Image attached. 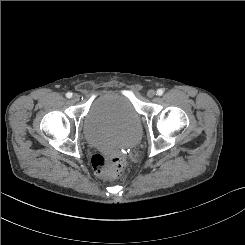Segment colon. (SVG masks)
I'll list each match as a JSON object with an SVG mask.
<instances>
[{"label":"colon","mask_w":245,"mask_h":245,"mask_svg":"<svg viewBox=\"0 0 245 245\" xmlns=\"http://www.w3.org/2000/svg\"><path fill=\"white\" fill-rule=\"evenodd\" d=\"M95 173L104 179H121L125 177L127 160L122 155L96 154L91 160Z\"/></svg>","instance_id":"obj_1"}]
</instances>
